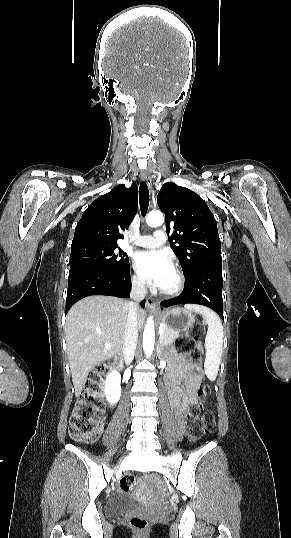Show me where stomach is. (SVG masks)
Here are the masks:
<instances>
[{"instance_id":"1","label":"stomach","mask_w":291,"mask_h":538,"mask_svg":"<svg viewBox=\"0 0 291 538\" xmlns=\"http://www.w3.org/2000/svg\"><path fill=\"white\" fill-rule=\"evenodd\" d=\"M195 321L192 311L183 308H174L161 315V323L165 328L181 332L189 329Z\"/></svg>"}]
</instances>
